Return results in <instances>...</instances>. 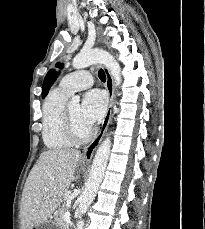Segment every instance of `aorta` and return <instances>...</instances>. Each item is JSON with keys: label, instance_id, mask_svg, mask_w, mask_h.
I'll list each match as a JSON object with an SVG mask.
<instances>
[{"label": "aorta", "instance_id": "762f6f07", "mask_svg": "<svg viewBox=\"0 0 205 229\" xmlns=\"http://www.w3.org/2000/svg\"><path fill=\"white\" fill-rule=\"evenodd\" d=\"M93 64H103L114 79L115 86L121 84V68L115 58L105 50L92 49L90 51H82L73 58L72 66L75 69H83ZM78 96L72 97L70 103L79 104ZM111 148V138L106 137L98 147L93 159L89 178L87 180L84 191L79 197V212L84 214L90 204L93 202L98 188L102 182L104 172L108 163Z\"/></svg>", "mask_w": 205, "mask_h": 229}]
</instances>
